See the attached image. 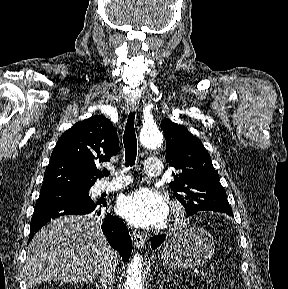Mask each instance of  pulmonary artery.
I'll return each instance as SVG.
<instances>
[{"instance_id": "obj_1", "label": "pulmonary artery", "mask_w": 288, "mask_h": 289, "mask_svg": "<svg viewBox=\"0 0 288 289\" xmlns=\"http://www.w3.org/2000/svg\"><path fill=\"white\" fill-rule=\"evenodd\" d=\"M161 170H162V163L159 159L157 158H149L145 161L144 164V171L145 174L150 176V177H158L161 175ZM128 182V179L125 177H118L114 179L112 182L109 183H101L100 185L97 186V193H102V192H110L117 190L121 188L123 185H125Z\"/></svg>"}]
</instances>
